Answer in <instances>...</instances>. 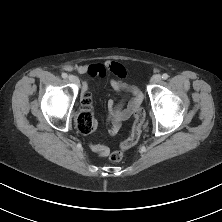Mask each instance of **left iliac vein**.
Here are the masks:
<instances>
[{"mask_svg": "<svg viewBox=\"0 0 222 222\" xmlns=\"http://www.w3.org/2000/svg\"><path fill=\"white\" fill-rule=\"evenodd\" d=\"M161 81V76L160 75H155L151 78V83L152 84H157Z\"/></svg>", "mask_w": 222, "mask_h": 222, "instance_id": "4c4485c4", "label": "left iliac vein"}]
</instances>
